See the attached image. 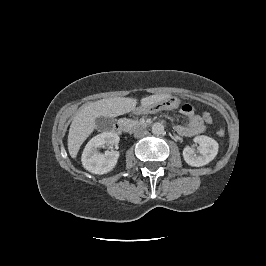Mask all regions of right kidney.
<instances>
[{
  "mask_svg": "<svg viewBox=\"0 0 266 266\" xmlns=\"http://www.w3.org/2000/svg\"><path fill=\"white\" fill-rule=\"evenodd\" d=\"M119 136L113 132H103L93 137L85 146L82 154L83 167L94 174H106L110 172L117 164L119 158L118 151H105L100 153L99 148L103 145L112 147L119 143Z\"/></svg>",
  "mask_w": 266,
  "mask_h": 266,
  "instance_id": "1",
  "label": "right kidney"
}]
</instances>
